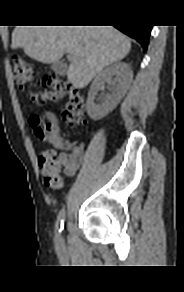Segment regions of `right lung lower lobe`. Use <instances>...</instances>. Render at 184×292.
Here are the masks:
<instances>
[{
  "label": "right lung lower lobe",
  "instance_id": "98d812e1",
  "mask_svg": "<svg viewBox=\"0 0 184 292\" xmlns=\"http://www.w3.org/2000/svg\"><path fill=\"white\" fill-rule=\"evenodd\" d=\"M117 29L137 40L146 51L152 26L149 25H115Z\"/></svg>",
  "mask_w": 184,
  "mask_h": 292
}]
</instances>
